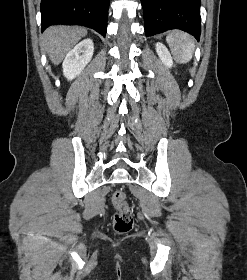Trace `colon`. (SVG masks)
Listing matches in <instances>:
<instances>
[{
    "mask_svg": "<svg viewBox=\"0 0 247 280\" xmlns=\"http://www.w3.org/2000/svg\"><path fill=\"white\" fill-rule=\"evenodd\" d=\"M112 203L116 209L113 228L117 233H126L133 226V214L127 203V196L123 190H117L112 196Z\"/></svg>",
    "mask_w": 247,
    "mask_h": 280,
    "instance_id": "1",
    "label": "colon"
}]
</instances>
